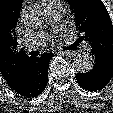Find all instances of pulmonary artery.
I'll list each match as a JSON object with an SVG mask.
<instances>
[{
  "mask_svg": "<svg viewBox=\"0 0 113 113\" xmlns=\"http://www.w3.org/2000/svg\"><path fill=\"white\" fill-rule=\"evenodd\" d=\"M43 6L50 22L54 23L60 18L62 11L60 0H49L43 2ZM48 38L49 37L47 33L41 32L35 36L28 38L24 43V47L27 50L41 48L46 44Z\"/></svg>",
  "mask_w": 113,
  "mask_h": 113,
  "instance_id": "e3ab8cb5",
  "label": "pulmonary artery"
}]
</instances>
